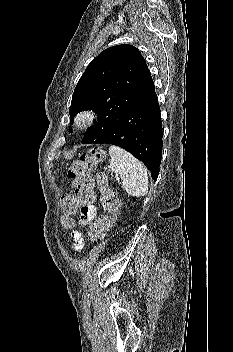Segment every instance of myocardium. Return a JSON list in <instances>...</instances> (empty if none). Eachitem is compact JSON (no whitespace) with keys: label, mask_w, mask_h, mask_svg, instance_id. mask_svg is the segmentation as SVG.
<instances>
[{"label":"myocardium","mask_w":233,"mask_h":352,"mask_svg":"<svg viewBox=\"0 0 233 352\" xmlns=\"http://www.w3.org/2000/svg\"><path fill=\"white\" fill-rule=\"evenodd\" d=\"M95 119H96V114L93 111L82 110L76 115L75 125L78 128H83L93 123Z\"/></svg>","instance_id":"1"}]
</instances>
